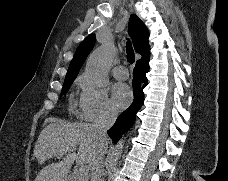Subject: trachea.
Segmentation results:
<instances>
[{
	"instance_id": "trachea-1",
	"label": "trachea",
	"mask_w": 228,
	"mask_h": 181,
	"mask_svg": "<svg viewBox=\"0 0 228 181\" xmlns=\"http://www.w3.org/2000/svg\"><path fill=\"white\" fill-rule=\"evenodd\" d=\"M126 57H127V61L130 63V64H133L134 61H135V55H134V50L132 48V45H131V42L130 41H127V44H126Z\"/></svg>"
}]
</instances>
